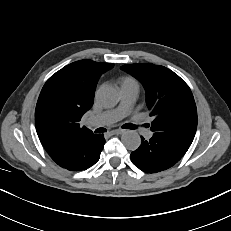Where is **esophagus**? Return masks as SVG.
<instances>
[{"label": "esophagus", "instance_id": "obj_1", "mask_svg": "<svg viewBox=\"0 0 231 231\" xmlns=\"http://www.w3.org/2000/svg\"><path fill=\"white\" fill-rule=\"evenodd\" d=\"M124 133V130L123 129H115V130H112L109 132L110 135H119V134H122Z\"/></svg>", "mask_w": 231, "mask_h": 231}]
</instances>
